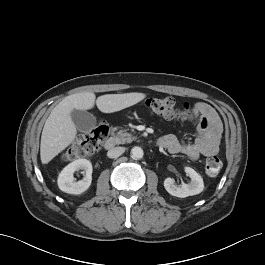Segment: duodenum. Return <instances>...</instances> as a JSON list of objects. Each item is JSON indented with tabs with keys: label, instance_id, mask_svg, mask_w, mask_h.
<instances>
[{
	"label": "duodenum",
	"instance_id": "410a0bca",
	"mask_svg": "<svg viewBox=\"0 0 265 265\" xmlns=\"http://www.w3.org/2000/svg\"><path fill=\"white\" fill-rule=\"evenodd\" d=\"M159 144L162 145V141L159 140ZM116 146V140L114 137H110L105 141L104 147L106 150H112L114 149Z\"/></svg>",
	"mask_w": 265,
	"mask_h": 265
}]
</instances>
